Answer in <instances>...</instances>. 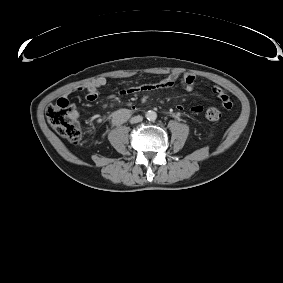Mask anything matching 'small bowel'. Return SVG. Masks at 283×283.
Returning <instances> with one entry per match:
<instances>
[{"mask_svg":"<svg viewBox=\"0 0 283 283\" xmlns=\"http://www.w3.org/2000/svg\"><path fill=\"white\" fill-rule=\"evenodd\" d=\"M180 83L181 86L186 91H192L196 85V77L192 73H172L167 77L153 83H146L138 86L128 87L121 91V94L131 96L136 94H149L157 91L167 90L175 86V84ZM106 84V80L103 77H97L88 83L76 87L71 90L72 93L75 92H84L86 99L90 102L97 100L99 97V90ZM213 92L217 95L219 100L221 101L224 109L229 110L232 107V103L227 92L221 87H214ZM182 105L176 106V112L181 113L183 111ZM204 110V107L200 104L194 105L191 108L192 113L200 114ZM75 117L78 118L80 113L79 111H75Z\"/></svg>","mask_w":283,"mask_h":283,"instance_id":"1","label":"small bowel"}]
</instances>
